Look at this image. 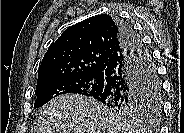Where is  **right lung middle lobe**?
<instances>
[{"label": "right lung middle lobe", "mask_w": 184, "mask_h": 133, "mask_svg": "<svg viewBox=\"0 0 184 133\" xmlns=\"http://www.w3.org/2000/svg\"><path fill=\"white\" fill-rule=\"evenodd\" d=\"M151 58V57H150ZM104 86L103 75H87L64 77L46 83L36 89L37 99L34 108H39L52 98L67 94H82L90 97L98 96ZM113 111L125 115L149 114L158 116L161 108V85L156 74V68L151 59V87L145 99L138 102L108 106Z\"/></svg>", "instance_id": "right-lung-middle-lobe-1"}]
</instances>
